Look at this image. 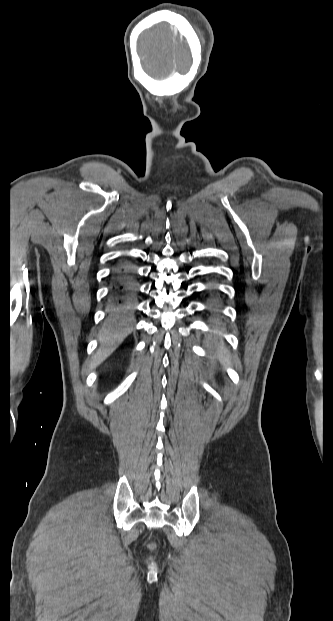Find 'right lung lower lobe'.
<instances>
[{"mask_svg": "<svg viewBox=\"0 0 333 621\" xmlns=\"http://www.w3.org/2000/svg\"><path fill=\"white\" fill-rule=\"evenodd\" d=\"M135 268L127 260H120L111 274V304L118 308H128L136 294Z\"/></svg>", "mask_w": 333, "mask_h": 621, "instance_id": "1", "label": "right lung lower lobe"}]
</instances>
